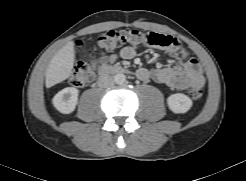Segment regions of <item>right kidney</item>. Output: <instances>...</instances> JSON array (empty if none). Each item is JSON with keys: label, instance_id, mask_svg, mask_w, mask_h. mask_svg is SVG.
<instances>
[{"label": "right kidney", "instance_id": "1", "mask_svg": "<svg viewBox=\"0 0 246 181\" xmlns=\"http://www.w3.org/2000/svg\"><path fill=\"white\" fill-rule=\"evenodd\" d=\"M78 94V89L74 87L64 88L54 96L52 103L59 112L70 114L76 108ZM66 95H68V97H66Z\"/></svg>", "mask_w": 246, "mask_h": 181}]
</instances>
